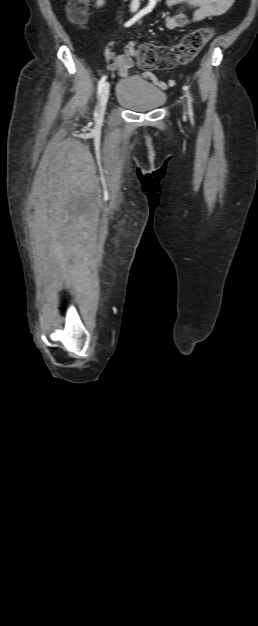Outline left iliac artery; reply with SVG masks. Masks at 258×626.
Listing matches in <instances>:
<instances>
[{
  "mask_svg": "<svg viewBox=\"0 0 258 626\" xmlns=\"http://www.w3.org/2000/svg\"><path fill=\"white\" fill-rule=\"evenodd\" d=\"M183 89L186 91L187 97H188V103H189V112L190 114H192V108H191V97L188 91V87L184 86Z\"/></svg>",
  "mask_w": 258,
  "mask_h": 626,
  "instance_id": "left-iliac-artery-1",
  "label": "left iliac artery"
}]
</instances>
